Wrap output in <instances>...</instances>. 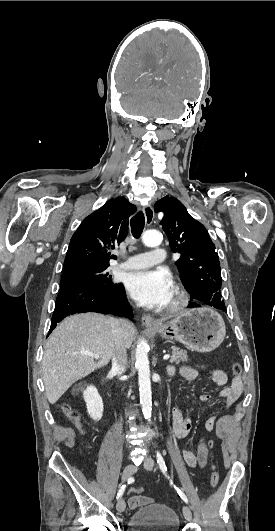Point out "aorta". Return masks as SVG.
Listing matches in <instances>:
<instances>
[{"label": "aorta", "instance_id": "762f6f07", "mask_svg": "<svg viewBox=\"0 0 275 531\" xmlns=\"http://www.w3.org/2000/svg\"><path fill=\"white\" fill-rule=\"evenodd\" d=\"M161 237L162 235H160L158 231H145L141 239L146 247H158L161 243ZM148 349L147 341L140 339L135 353V367L138 371L140 405H142V413L145 419H150L152 411Z\"/></svg>", "mask_w": 275, "mask_h": 531}]
</instances>
